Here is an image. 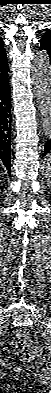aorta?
I'll return each instance as SVG.
<instances>
[{"mask_svg":"<svg viewBox=\"0 0 51 393\" xmlns=\"http://www.w3.org/2000/svg\"><path fill=\"white\" fill-rule=\"evenodd\" d=\"M34 92L42 115V128L51 135V65L46 50L39 51L34 59Z\"/></svg>","mask_w":51,"mask_h":393,"instance_id":"762f6f07","label":"aorta"}]
</instances>
